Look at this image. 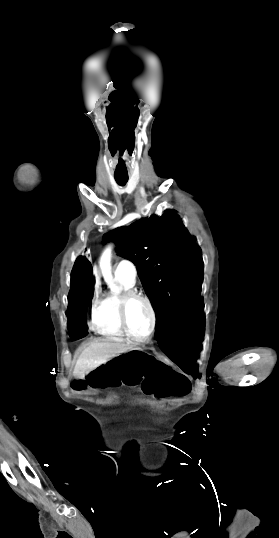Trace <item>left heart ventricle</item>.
Returning <instances> with one entry per match:
<instances>
[{"instance_id":"obj_1","label":"left heart ventricle","mask_w":279,"mask_h":538,"mask_svg":"<svg viewBox=\"0 0 279 538\" xmlns=\"http://www.w3.org/2000/svg\"><path fill=\"white\" fill-rule=\"evenodd\" d=\"M102 210H112L115 207H99ZM98 222H103L102 217L97 218ZM127 322L130 331L139 337L147 335L151 326V314L144 302L135 301L131 303L127 310Z\"/></svg>"}]
</instances>
